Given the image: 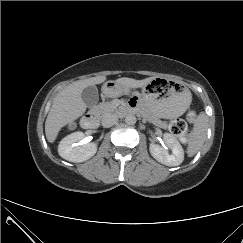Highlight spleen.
Segmentation results:
<instances>
[{"instance_id":"3e777b00","label":"spleen","mask_w":243,"mask_h":243,"mask_svg":"<svg viewBox=\"0 0 243 243\" xmlns=\"http://www.w3.org/2000/svg\"><path fill=\"white\" fill-rule=\"evenodd\" d=\"M208 128V117L205 112H200L194 123V127L189 136L187 155L194 156L203 146L206 140V133Z\"/></svg>"}]
</instances>
